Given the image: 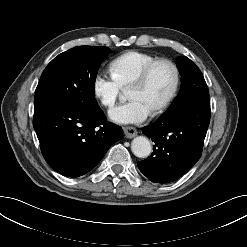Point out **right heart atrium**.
Instances as JSON below:
<instances>
[{
  "mask_svg": "<svg viewBox=\"0 0 247 247\" xmlns=\"http://www.w3.org/2000/svg\"><path fill=\"white\" fill-rule=\"evenodd\" d=\"M92 88L95 98L104 107L113 106L121 93V87L112 77L102 71L95 74Z\"/></svg>",
  "mask_w": 247,
  "mask_h": 247,
  "instance_id": "right-heart-atrium-1",
  "label": "right heart atrium"
}]
</instances>
